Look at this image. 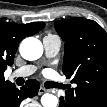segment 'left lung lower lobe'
Listing matches in <instances>:
<instances>
[{
  "label": "left lung lower lobe",
  "instance_id": "obj_1",
  "mask_svg": "<svg viewBox=\"0 0 107 107\" xmlns=\"http://www.w3.org/2000/svg\"><path fill=\"white\" fill-rule=\"evenodd\" d=\"M107 93L100 92L95 96H82L77 90L68 88L66 96L60 98L59 107H106Z\"/></svg>",
  "mask_w": 107,
  "mask_h": 107
}]
</instances>
